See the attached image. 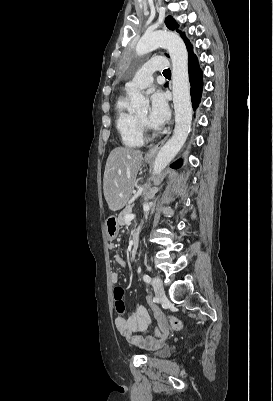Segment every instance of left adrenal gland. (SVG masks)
<instances>
[{
	"label": "left adrenal gland",
	"instance_id": "a2214340",
	"mask_svg": "<svg viewBox=\"0 0 273 401\" xmlns=\"http://www.w3.org/2000/svg\"><path fill=\"white\" fill-rule=\"evenodd\" d=\"M148 196H150V198H151V196H153V194H148Z\"/></svg>",
	"mask_w": 273,
	"mask_h": 401
}]
</instances>
